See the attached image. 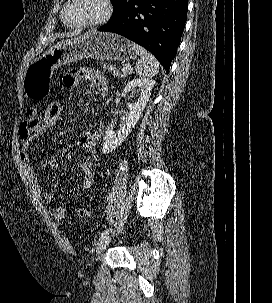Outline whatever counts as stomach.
Returning <instances> with one entry per match:
<instances>
[{
	"label": "stomach",
	"mask_w": 272,
	"mask_h": 303,
	"mask_svg": "<svg viewBox=\"0 0 272 303\" xmlns=\"http://www.w3.org/2000/svg\"><path fill=\"white\" fill-rule=\"evenodd\" d=\"M135 55L132 43L124 37L113 33L87 32L56 43L34 59L24 74L23 91L30 99L42 100L49 95L52 74L62 65L84 58L128 62Z\"/></svg>",
	"instance_id": "obj_1"
}]
</instances>
